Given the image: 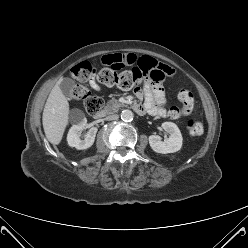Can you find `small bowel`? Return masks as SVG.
<instances>
[{
    "label": "small bowel",
    "instance_id": "1",
    "mask_svg": "<svg viewBox=\"0 0 248 248\" xmlns=\"http://www.w3.org/2000/svg\"><path fill=\"white\" fill-rule=\"evenodd\" d=\"M101 62L115 68L136 65L146 73L154 70L157 78L165 77L173 73L170 67L158 62L152 57L143 56L138 58L135 54L130 52L106 55L101 59ZM89 84L95 90L100 89L95 78H91ZM136 94L140 99L144 100L143 106L140 105L144 111L159 117H166L168 115L165 108L167 103L165 93L159 84L152 87L149 83H145L141 89L136 91Z\"/></svg>",
    "mask_w": 248,
    "mask_h": 248
}]
</instances>
